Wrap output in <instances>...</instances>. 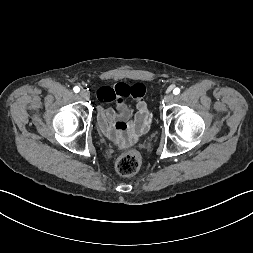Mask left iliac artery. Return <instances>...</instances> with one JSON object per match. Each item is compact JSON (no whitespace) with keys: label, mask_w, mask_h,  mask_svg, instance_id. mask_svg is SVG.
<instances>
[{"label":"left iliac artery","mask_w":253,"mask_h":253,"mask_svg":"<svg viewBox=\"0 0 253 253\" xmlns=\"http://www.w3.org/2000/svg\"><path fill=\"white\" fill-rule=\"evenodd\" d=\"M180 93V89L179 88H175L174 90H173V94L174 95H178Z\"/></svg>","instance_id":"1"}]
</instances>
